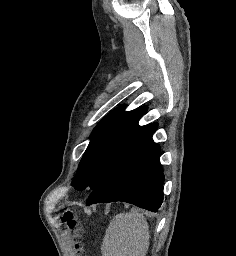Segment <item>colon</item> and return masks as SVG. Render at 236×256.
Returning a JSON list of instances; mask_svg holds the SVG:
<instances>
[{"mask_svg": "<svg viewBox=\"0 0 236 256\" xmlns=\"http://www.w3.org/2000/svg\"><path fill=\"white\" fill-rule=\"evenodd\" d=\"M77 208L67 206L61 213V222L67 227L70 232H74L78 227ZM75 256H85L83 249L79 243L75 244Z\"/></svg>", "mask_w": 236, "mask_h": 256, "instance_id": "1", "label": "colon"}]
</instances>
